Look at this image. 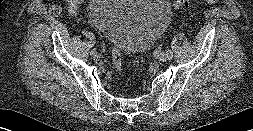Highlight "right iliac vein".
<instances>
[{
    "label": "right iliac vein",
    "instance_id": "obj_1",
    "mask_svg": "<svg viewBox=\"0 0 253 131\" xmlns=\"http://www.w3.org/2000/svg\"><path fill=\"white\" fill-rule=\"evenodd\" d=\"M91 55H92L93 57H99L98 52H97V51H94V50L91 51Z\"/></svg>",
    "mask_w": 253,
    "mask_h": 131
}]
</instances>
